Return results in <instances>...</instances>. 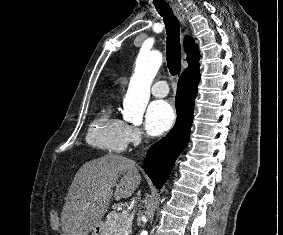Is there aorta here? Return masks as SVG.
<instances>
[{
	"instance_id": "1",
	"label": "aorta",
	"mask_w": 283,
	"mask_h": 235,
	"mask_svg": "<svg viewBox=\"0 0 283 235\" xmlns=\"http://www.w3.org/2000/svg\"><path fill=\"white\" fill-rule=\"evenodd\" d=\"M159 51L140 52L136 59L134 74L123 100V118L134 124L142 122L143 114L150 98V87L161 64ZM139 235H148L142 230Z\"/></svg>"
}]
</instances>
